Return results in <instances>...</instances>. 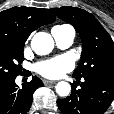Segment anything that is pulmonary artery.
<instances>
[{"mask_svg": "<svg viewBox=\"0 0 114 114\" xmlns=\"http://www.w3.org/2000/svg\"><path fill=\"white\" fill-rule=\"evenodd\" d=\"M51 34L59 48L65 49L71 46L75 37L73 27L69 25L55 26L51 30Z\"/></svg>", "mask_w": 114, "mask_h": 114, "instance_id": "e3ab8cb5", "label": "pulmonary artery"}]
</instances>
